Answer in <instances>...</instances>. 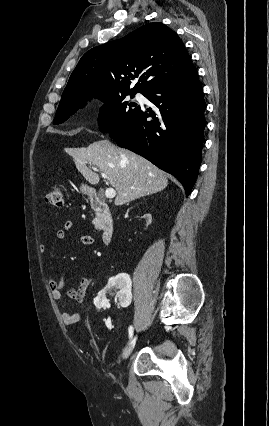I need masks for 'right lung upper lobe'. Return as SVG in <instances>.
I'll list each match as a JSON object with an SVG mask.
<instances>
[{
  "label": "right lung upper lobe",
  "instance_id": "obj_1",
  "mask_svg": "<svg viewBox=\"0 0 269 426\" xmlns=\"http://www.w3.org/2000/svg\"><path fill=\"white\" fill-rule=\"evenodd\" d=\"M191 67L178 35L166 25L153 22L86 52L72 72L62 98L143 94ZM138 74L142 75L133 86L132 80Z\"/></svg>",
  "mask_w": 269,
  "mask_h": 426
}]
</instances>
